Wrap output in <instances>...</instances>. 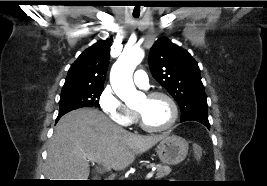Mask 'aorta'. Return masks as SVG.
<instances>
[{"instance_id":"1","label":"aorta","mask_w":267,"mask_h":186,"mask_svg":"<svg viewBox=\"0 0 267 186\" xmlns=\"http://www.w3.org/2000/svg\"><path fill=\"white\" fill-rule=\"evenodd\" d=\"M143 58L144 51L142 49H126L112 66L110 72V82L114 92L128 105L136 103L141 96V93L135 88L132 75Z\"/></svg>"}]
</instances>
